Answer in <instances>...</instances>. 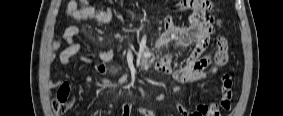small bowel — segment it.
I'll use <instances>...</instances> for the list:
<instances>
[{
    "label": "small bowel",
    "instance_id": "small-bowel-1",
    "mask_svg": "<svg viewBox=\"0 0 283 116\" xmlns=\"http://www.w3.org/2000/svg\"><path fill=\"white\" fill-rule=\"evenodd\" d=\"M210 1L205 0H184L180 2V8H186L194 4V10L188 19V25L184 27H177L172 23L171 14L166 13L164 17L165 31L161 37V43L176 42L186 45L192 42L196 43V48L190 54L186 63L177 69L173 68L172 61L169 57H163L156 63L158 71L166 74H172L174 79L179 83L191 84L196 83L207 76V68L210 64V58L204 56V52L209 47L212 34L214 32L212 21L207 15V4ZM66 13L76 21L94 20L101 24L109 23L113 18V11L107 9L105 11L99 10L94 6H87L80 8L76 1H70L66 8ZM80 34V28L76 25L68 26L61 39L54 42L52 47L57 50L64 42L66 47L63 48L59 55V62L61 65L67 66L71 63V59L81 51L80 42L75 40V37ZM103 61H108L112 57L110 51H105L100 54ZM88 62L87 58L83 59ZM99 71H105V65L101 64L98 67ZM227 100L231 101V78L229 85L224 76L221 79V99L224 103ZM177 108L181 116H215L211 111V106L197 103L193 111H188L182 105L181 101H177ZM132 105L125 104L123 106V116L132 115ZM138 115L141 116H155L151 110L139 106L135 108ZM219 114H217L218 116Z\"/></svg>",
    "mask_w": 283,
    "mask_h": 116
}]
</instances>
